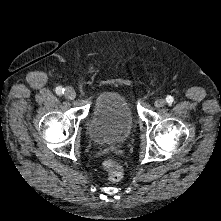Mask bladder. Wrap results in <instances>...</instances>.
Returning <instances> with one entry per match:
<instances>
[{"mask_svg":"<svg viewBox=\"0 0 221 221\" xmlns=\"http://www.w3.org/2000/svg\"><path fill=\"white\" fill-rule=\"evenodd\" d=\"M134 124L132 109L117 92H106L95 102L88 120L90 138L99 144H116L127 140Z\"/></svg>","mask_w":221,"mask_h":221,"instance_id":"1","label":"bladder"}]
</instances>
